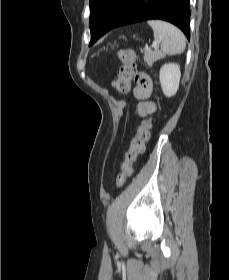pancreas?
<instances>
[{
  "label": "pancreas",
  "instance_id": "1",
  "mask_svg": "<svg viewBox=\"0 0 229 280\" xmlns=\"http://www.w3.org/2000/svg\"><path fill=\"white\" fill-rule=\"evenodd\" d=\"M162 54L159 51H152L151 49L144 50V61L148 66H152L153 63L162 58Z\"/></svg>",
  "mask_w": 229,
  "mask_h": 280
}]
</instances>
